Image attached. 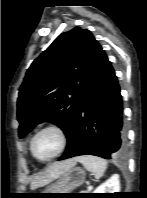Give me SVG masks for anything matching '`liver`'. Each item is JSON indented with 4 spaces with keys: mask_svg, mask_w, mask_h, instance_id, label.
<instances>
[{
    "mask_svg": "<svg viewBox=\"0 0 147 198\" xmlns=\"http://www.w3.org/2000/svg\"><path fill=\"white\" fill-rule=\"evenodd\" d=\"M76 161V158H74L53 163L44 172L38 173L34 176L30 186L31 189L34 190L50 183L54 179H57L59 176L63 175L69 169L74 167L76 165Z\"/></svg>",
    "mask_w": 147,
    "mask_h": 198,
    "instance_id": "obj_1",
    "label": "liver"
}]
</instances>
